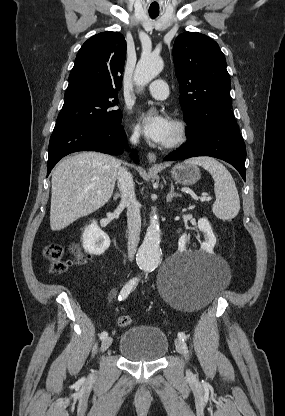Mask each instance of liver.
<instances>
[{"label": "liver", "mask_w": 285, "mask_h": 416, "mask_svg": "<svg viewBox=\"0 0 285 416\" xmlns=\"http://www.w3.org/2000/svg\"><path fill=\"white\" fill-rule=\"evenodd\" d=\"M120 166V160L98 152H83L60 162L52 174L51 230H63L105 206Z\"/></svg>", "instance_id": "obj_1"}]
</instances>
